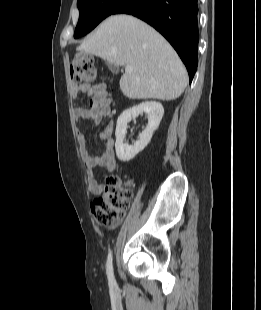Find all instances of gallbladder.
Segmentation results:
<instances>
[{
	"mask_svg": "<svg viewBox=\"0 0 261 310\" xmlns=\"http://www.w3.org/2000/svg\"><path fill=\"white\" fill-rule=\"evenodd\" d=\"M108 67L115 73H118V67L112 63H107Z\"/></svg>",
	"mask_w": 261,
	"mask_h": 310,
	"instance_id": "1",
	"label": "gallbladder"
}]
</instances>
